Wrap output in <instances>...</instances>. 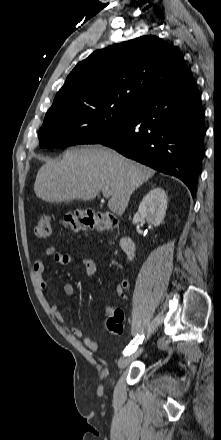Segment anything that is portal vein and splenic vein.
Listing matches in <instances>:
<instances>
[{"label": "portal vein and splenic vein", "instance_id": "18ae733b", "mask_svg": "<svg viewBox=\"0 0 221 440\" xmlns=\"http://www.w3.org/2000/svg\"><path fill=\"white\" fill-rule=\"evenodd\" d=\"M104 197H109V194L107 192H103Z\"/></svg>", "mask_w": 221, "mask_h": 440}]
</instances>
